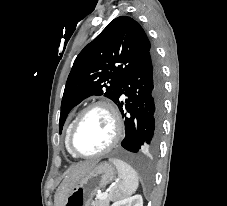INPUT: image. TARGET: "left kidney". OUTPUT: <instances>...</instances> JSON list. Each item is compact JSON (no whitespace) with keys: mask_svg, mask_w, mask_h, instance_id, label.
Instances as JSON below:
<instances>
[{"mask_svg":"<svg viewBox=\"0 0 227 206\" xmlns=\"http://www.w3.org/2000/svg\"><path fill=\"white\" fill-rule=\"evenodd\" d=\"M111 206H143V199L141 195H134L132 197L116 201Z\"/></svg>","mask_w":227,"mask_h":206,"instance_id":"5707ae66","label":"left kidney"}]
</instances>
